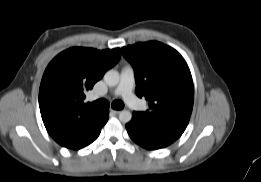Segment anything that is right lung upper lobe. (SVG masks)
<instances>
[{
	"mask_svg": "<svg viewBox=\"0 0 261 182\" xmlns=\"http://www.w3.org/2000/svg\"><path fill=\"white\" fill-rule=\"evenodd\" d=\"M119 48L97 50L72 47L47 66L39 90V107L49 135L61 146L72 148L96 122L101 110L84 104L85 92L120 59Z\"/></svg>",
	"mask_w": 261,
	"mask_h": 182,
	"instance_id": "cb5924a9",
	"label": "right lung upper lobe"
}]
</instances>
